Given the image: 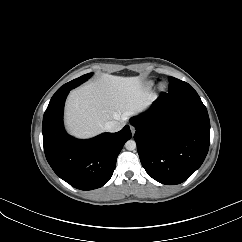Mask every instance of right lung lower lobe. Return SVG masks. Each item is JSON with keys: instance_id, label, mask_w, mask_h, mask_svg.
<instances>
[{"instance_id": "obj_1", "label": "right lung lower lobe", "mask_w": 242, "mask_h": 242, "mask_svg": "<svg viewBox=\"0 0 242 242\" xmlns=\"http://www.w3.org/2000/svg\"><path fill=\"white\" fill-rule=\"evenodd\" d=\"M71 89L54 94L44 113V152L61 179L77 189L93 190L111 178L117 157L132 134L126 125L117 133H103L88 140L69 136L63 126V109Z\"/></svg>"}]
</instances>
